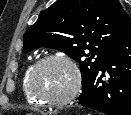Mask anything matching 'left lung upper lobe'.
I'll return each instance as SVG.
<instances>
[{"label": "left lung upper lobe", "instance_id": "left-lung-upper-lobe-1", "mask_svg": "<svg viewBox=\"0 0 131 115\" xmlns=\"http://www.w3.org/2000/svg\"><path fill=\"white\" fill-rule=\"evenodd\" d=\"M130 30L131 18L119 0H57L27 29L23 49L49 47L67 54L79 63L83 89Z\"/></svg>", "mask_w": 131, "mask_h": 115}]
</instances>
